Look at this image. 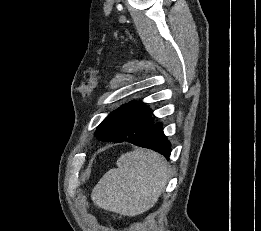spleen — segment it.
<instances>
[{
	"mask_svg": "<svg viewBox=\"0 0 261 231\" xmlns=\"http://www.w3.org/2000/svg\"><path fill=\"white\" fill-rule=\"evenodd\" d=\"M92 191V201L104 210L136 216L149 210L163 192L169 167L150 150L136 149L121 155Z\"/></svg>",
	"mask_w": 261,
	"mask_h": 231,
	"instance_id": "1",
	"label": "spleen"
}]
</instances>
